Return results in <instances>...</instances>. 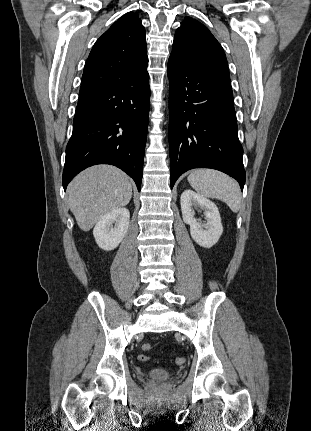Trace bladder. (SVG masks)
<instances>
[{"mask_svg": "<svg viewBox=\"0 0 311 431\" xmlns=\"http://www.w3.org/2000/svg\"><path fill=\"white\" fill-rule=\"evenodd\" d=\"M148 377L152 379L166 380L171 377V373L163 368H153L148 371Z\"/></svg>", "mask_w": 311, "mask_h": 431, "instance_id": "obj_1", "label": "bladder"}]
</instances>
